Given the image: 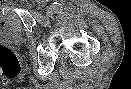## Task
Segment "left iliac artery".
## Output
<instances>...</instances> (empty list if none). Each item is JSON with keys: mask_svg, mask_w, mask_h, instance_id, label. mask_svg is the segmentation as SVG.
Listing matches in <instances>:
<instances>
[{"mask_svg": "<svg viewBox=\"0 0 131 89\" xmlns=\"http://www.w3.org/2000/svg\"><path fill=\"white\" fill-rule=\"evenodd\" d=\"M55 7H57V9L59 8V6H58V5H56Z\"/></svg>", "mask_w": 131, "mask_h": 89, "instance_id": "obj_1", "label": "left iliac artery"}]
</instances>
